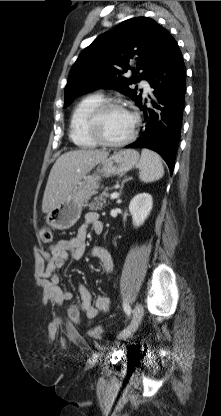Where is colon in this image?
<instances>
[{
    "label": "colon",
    "mask_w": 221,
    "mask_h": 416,
    "mask_svg": "<svg viewBox=\"0 0 221 416\" xmlns=\"http://www.w3.org/2000/svg\"><path fill=\"white\" fill-rule=\"evenodd\" d=\"M52 231L50 228L45 227L41 230V239L44 243H50L52 241ZM89 336L95 339H101L104 335V330L102 328H93L88 331Z\"/></svg>",
    "instance_id": "colon-1"
}]
</instances>
